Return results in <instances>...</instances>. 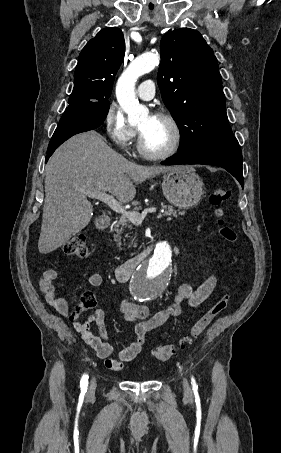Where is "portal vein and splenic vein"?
<instances>
[{
    "instance_id": "portal-vein-and-splenic-vein-1",
    "label": "portal vein and splenic vein",
    "mask_w": 281,
    "mask_h": 453,
    "mask_svg": "<svg viewBox=\"0 0 281 453\" xmlns=\"http://www.w3.org/2000/svg\"><path fill=\"white\" fill-rule=\"evenodd\" d=\"M84 194H87L89 198H97V200H102V202H106L112 210H115V212H120L124 218H128V220H131V222H142L143 218H145L146 214H152L153 212H156V208L152 206V208H144L142 210L141 214L140 212H136V210H127V208H124L112 194H106V192H99V190H84Z\"/></svg>"
}]
</instances>
